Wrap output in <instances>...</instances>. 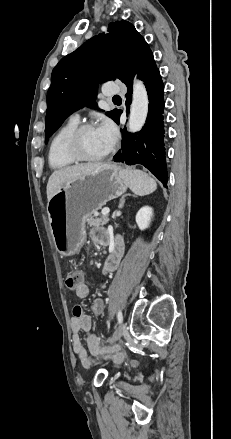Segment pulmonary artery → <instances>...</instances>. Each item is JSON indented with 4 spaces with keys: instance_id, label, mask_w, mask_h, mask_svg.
I'll return each instance as SVG.
<instances>
[{
    "instance_id": "obj_1",
    "label": "pulmonary artery",
    "mask_w": 231,
    "mask_h": 439,
    "mask_svg": "<svg viewBox=\"0 0 231 439\" xmlns=\"http://www.w3.org/2000/svg\"><path fill=\"white\" fill-rule=\"evenodd\" d=\"M120 91V87L115 83H108L104 87V94L106 96H110L116 94ZM80 118L78 113H74L71 115V119L78 121Z\"/></svg>"
}]
</instances>
